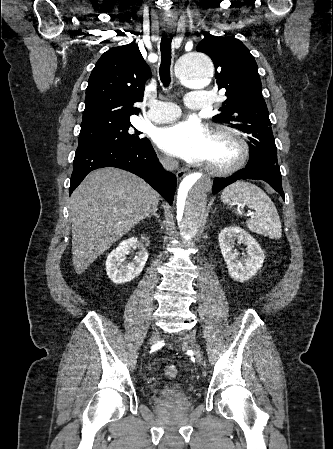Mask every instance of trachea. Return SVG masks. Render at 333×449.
<instances>
[{"label":"trachea","mask_w":333,"mask_h":449,"mask_svg":"<svg viewBox=\"0 0 333 449\" xmlns=\"http://www.w3.org/2000/svg\"><path fill=\"white\" fill-rule=\"evenodd\" d=\"M172 36L164 35L161 38L160 51H161V65L159 68L160 79L165 87H168L171 82L170 77V65H171V43Z\"/></svg>","instance_id":"1"}]
</instances>
